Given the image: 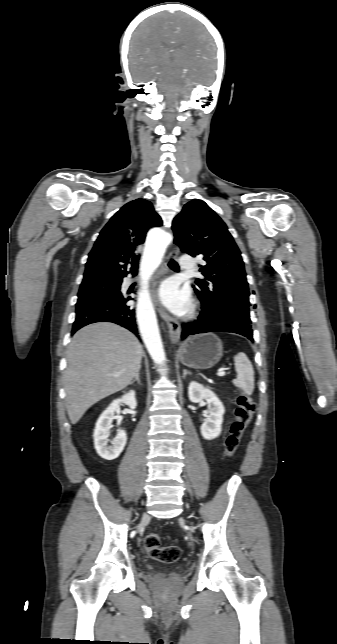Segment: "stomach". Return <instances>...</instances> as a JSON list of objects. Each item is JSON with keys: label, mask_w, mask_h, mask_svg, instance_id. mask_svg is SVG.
Instances as JSON below:
<instances>
[{"label": "stomach", "mask_w": 337, "mask_h": 644, "mask_svg": "<svg viewBox=\"0 0 337 644\" xmlns=\"http://www.w3.org/2000/svg\"><path fill=\"white\" fill-rule=\"evenodd\" d=\"M183 365L194 369H210L223 356L222 341L212 333L191 337L178 351Z\"/></svg>", "instance_id": "stomach-1"}]
</instances>
